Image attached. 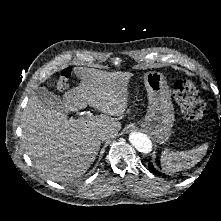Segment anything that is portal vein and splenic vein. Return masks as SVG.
<instances>
[{
  "instance_id": "1",
  "label": "portal vein and splenic vein",
  "mask_w": 221,
  "mask_h": 221,
  "mask_svg": "<svg viewBox=\"0 0 221 221\" xmlns=\"http://www.w3.org/2000/svg\"><path fill=\"white\" fill-rule=\"evenodd\" d=\"M87 116H88V117H91V116H92V113H91V112H87ZM71 121L73 122L74 120L71 119Z\"/></svg>"
}]
</instances>
